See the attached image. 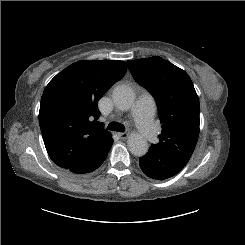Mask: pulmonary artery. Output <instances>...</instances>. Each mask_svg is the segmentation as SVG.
<instances>
[{"instance_id":"obj_1","label":"pulmonary artery","mask_w":245,"mask_h":245,"mask_svg":"<svg viewBox=\"0 0 245 245\" xmlns=\"http://www.w3.org/2000/svg\"><path fill=\"white\" fill-rule=\"evenodd\" d=\"M130 114L141 136L148 142L155 140L157 137L154 122L155 101L152 95L147 92L143 93L132 106Z\"/></svg>"}]
</instances>
